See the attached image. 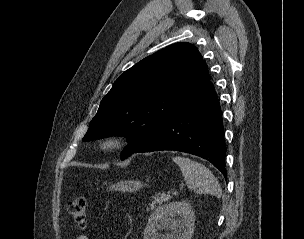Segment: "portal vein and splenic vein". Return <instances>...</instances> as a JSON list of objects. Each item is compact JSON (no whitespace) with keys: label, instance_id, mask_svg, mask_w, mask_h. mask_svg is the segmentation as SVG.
<instances>
[{"label":"portal vein and splenic vein","instance_id":"18ae733b","mask_svg":"<svg viewBox=\"0 0 304 239\" xmlns=\"http://www.w3.org/2000/svg\"><path fill=\"white\" fill-rule=\"evenodd\" d=\"M173 194H174V195H177V194H178V192H177V191H175Z\"/></svg>","mask_w":304,"mask_h":239}]
</instances>
